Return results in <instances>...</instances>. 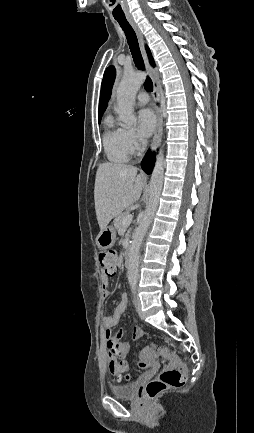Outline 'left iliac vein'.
<instances>
[{
    "label": "left iliac vein",
    "instance_id": "1",
    "mask_svg": "<svg viewBox=\"0 0 254 433\" xmlns=\"http://www.w3.org/2000/svg\"><path fill=\"white\" fill-rule=\"evenodd\" d=\"M133 303H134V305H135V307H136V310H137L139 316H142V311H141V302H140V299H139L138 296H134V298H133Z\"/></svg>",
    "mask_w": 254,
    "mask_h": 433
}]
</instances>
